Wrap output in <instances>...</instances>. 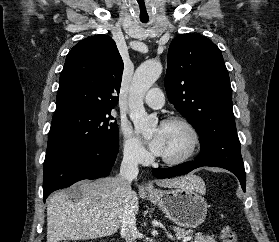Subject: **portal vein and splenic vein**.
<instances>
[{
	"instance_id": "1",
	"label": "portal vein and splenic vein",
	"mask_w": 279,
	"mask_h": 242,
	"mask_svg": "<svg viewBox=\"0 0 279 242\" xmlns=\"http://www.w3.org/2000/svg\"><path fill=\"white\" fill-rule=\"evenodd\" d=\"M191 239H192V236H187V237H184L182 241L186 242V241H189Z\"/></svg>"
}]
</instances>
